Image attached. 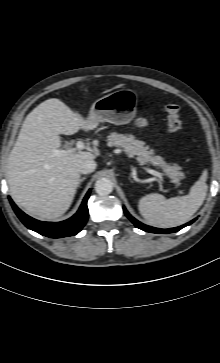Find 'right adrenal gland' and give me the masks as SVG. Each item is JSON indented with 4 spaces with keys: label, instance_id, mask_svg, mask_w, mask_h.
Wrapping results in <instances>:
<instances>
[{
    "label": "right adrenal gland",
    "instance_id": "1",
    "mask_svg": "<svg viewBox=\"0 0 220 363\" xmlns=\"http://www.w3.org/2000/svg\"><path fill=\"white\" fill-rule=\"evenodd\" d=\"M85 179H86V177H83V178H81V179L79 180V185H78V187H80V186H81V183H82Z\"/></svg>",
    "mask_w": 220,
    "mask_h": 363
}]
</instances>
